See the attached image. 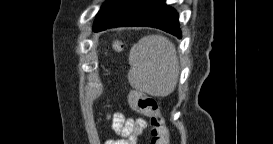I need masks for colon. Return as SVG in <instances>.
<instances>
[{
    "label": "colon",
    "mask_w": 273,
    "mask_h": 144,
    "mask_svg": "<svg viewBox=\"0 0 273 144\" xmlns=\"http://www.w3.org/2000/svg\"><path fill=\"white\" fill-rule=\"evenodd\" d=\"M130 105L135 111L150 119L152 126L151 144H168V128L157 101L145 93L132 91Z\"/></svg>",
    "instance_id": "colon-1"
}]
</instances>
